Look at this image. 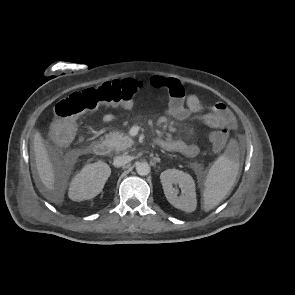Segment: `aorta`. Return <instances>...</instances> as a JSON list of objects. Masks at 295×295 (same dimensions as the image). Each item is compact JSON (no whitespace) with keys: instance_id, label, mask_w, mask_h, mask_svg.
Wrapping results in <instances>:
<instances>
[{"instance_id":"aorta-1","label":"aorta","mask_w":295,"mask_h":295,"mask_svg":"<svg viewBox=\"0 0 295 295\" xmlns=\"http://www.w3.org/2000/svg\"><path fill=\"white\" fill-rule=\"evenodd\" d=\"M136 171L140 176H146L150 173V165L147 162H140L136 166Z\"/></svg>"}]
</instances>
